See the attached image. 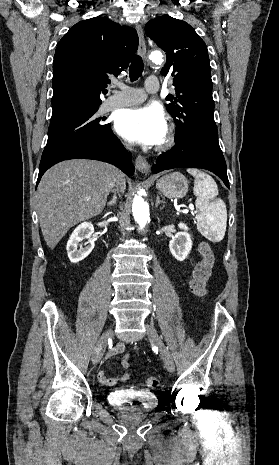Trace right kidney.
<instances>
[{"label":"right kidney","mask_w":279,"mask_h":465,"mask_svg":"<svg viewBox=\"0 0 279 465\" xmlns=\"http://www.w3.org/2000/svg\"><path fill=\"white\" fill-rule=\"evenodd\" d=\"M93 232L94 227L91 222H83L74 229L66 246L69 260L72 263L82 261L91 253L95 246L92 238ZM84 240H87V242L82 247ZM78 246H80L79 249Z\"/></svg>","instance_id":"1"}]
</instances>
